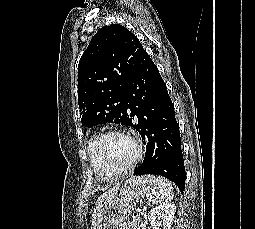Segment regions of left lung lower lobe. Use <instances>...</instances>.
Returning a JSON list of instances; mask_svg holds the SVG:
<instances>
[{
	"label": "left lung lower lobe",
	"instance_id": "left-lung-lower-lobe-1",
	"mask_svg": "<svg viewBox=\"0 0 255 229\" xmlns=\"http://www.w3.org/2000/svg\"><path fill=\"white\" fill-rule=\"evenodd\" d=\"M127 126L146 143L143 163L135 175L155 174L172 180L183 192L186 172L174 106L156 65L144 50L123 93ZM134 117L136 123H133Z\"/></svg>",
	"mask_w": 255,
	"mask_h": 229
}]
</instances>
